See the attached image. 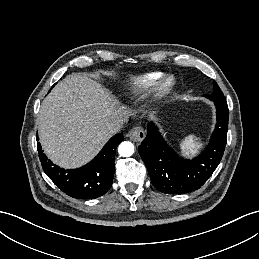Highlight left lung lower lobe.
<instances>
[{
    "instance_id": "1",
    "label": "left lung lower lobe",
    "mask_w": 259,
    "mask_h": 259,
    "mask_svg": "<svg viewBox=\"0 0 259 259\" xmlns=\"http://www.w3.org/2000/svg\"><path fill=\"white\" fill-rule=\"evenodd\" d=\"M217 124L207 148L197 158L185 160L166 144L158 128L150 122L147 136L139 146L151 181L161 192L181 194L199 189L219 165L227 140V102L214 101Z\"/></svg>"
}]
</instances>
